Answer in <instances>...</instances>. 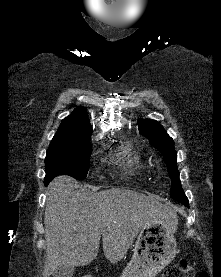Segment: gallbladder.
<instances>
[{
    "mask_svg": "<svg viewBox=\"0 0 221 277\" xmlns=\"http://www.w3.org/2000/svg\"><path fill=\"white\" fill-rule=\"evenodd\" d=\"M74 271L73 266H61L53 273V277H72Z\"/></svg>",
    "mask_w": 221,
    "mask_h": 277,
    "instance_id": "1",
    "label": "gallbladder"
}]
</instances>
